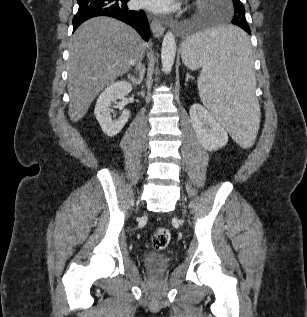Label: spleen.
I'll list each match as a JSON object with an SVG mask.
<instances>
[{"mask_svg":"<svg viewBox=\"0 0 307 317\" xmlns=\"http://www.w3.org/2000/svg\"><path fill=\"white\" fill-rule=\"evenodd\" d=\"M183 63L202 68L198 90L202 103L240 145L251 146L259 103L246 29L205 26L182 45Z\"/></svg>","mask_w":307,"mask_h":317,"instance_id":"obj_1","label":"spleen"}]
</instances>
